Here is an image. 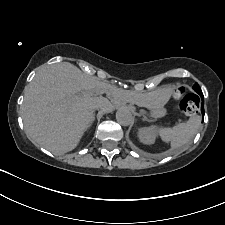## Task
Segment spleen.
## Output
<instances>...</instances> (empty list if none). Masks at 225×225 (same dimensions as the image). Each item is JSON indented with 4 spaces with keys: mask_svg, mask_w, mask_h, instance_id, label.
<instances>
[{
    "mask_svg": "<svg viewBox=\"0 0 225 225\" xmlns=\"http://www.w3.org/2000/svg\"><path fill=\"white\" fill-rule=\"evenodd\" d=\"M200 117L195 115L188 121L175 125L172 128L162 127L158 130L162 141L170 143L172 149L179 148L188 143L196 134L200 126Z\"/></svg>",
    "mask_w": 225,
    "mask_h": 225,
    "instance_id": "spleen-1",
    "label": "spleen"
}]
</instances>
